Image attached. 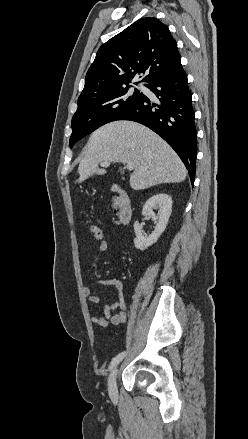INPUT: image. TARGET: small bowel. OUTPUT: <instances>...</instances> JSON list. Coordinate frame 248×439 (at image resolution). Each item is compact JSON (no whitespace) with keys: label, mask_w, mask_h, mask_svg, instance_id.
<instances>
[{"label":"small bowel","mask_w":248,"mask_h":439,"mask_svg":"<svg viewBox=\"0 0 248 439\" xmlns=\"http://www.w3.org/2000/svg\"><path fill=\"white\" fill-rule=\"evenodd\" d=\"M108 248L109 244L107 241H100L98 246L100 252H105L108 250ZM98 283L102 286L114 288L117 291L118 296L114 302L104 304V315L91 316L90 319L92 323L102 328H105L109 325L123 324L126 321V303L123 296V282L119 278H110L99 280ZM82 293L84 297L91 303L98 304L101 302L100 296L92 294L88 286L82 287Z\"/></svg>","instance_id":"obj_1"}]
</instances>
